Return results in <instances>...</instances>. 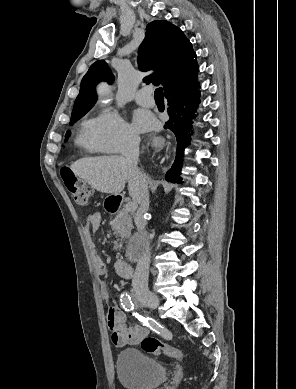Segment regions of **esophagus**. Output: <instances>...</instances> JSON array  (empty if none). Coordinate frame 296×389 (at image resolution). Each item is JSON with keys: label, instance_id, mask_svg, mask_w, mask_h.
<instances>
[{"label": "esophagus", "instance_id": "esophagus-1", "mask_svg": "<svg viewBox=\"0 0 296 389\" xmlns=\"http://www.w3.org/2000/svg\"><path fill=\"white\" fill-rule=\"evenodd\" d=\"M149 143H150V144H153V143H155V144H160L161 147H164V146H165L164 141H163V140H159V139H155V140L150 139V140H149Z\"/></svg>", "mask_w": 296, "mask_h": 389}]
</instances>
